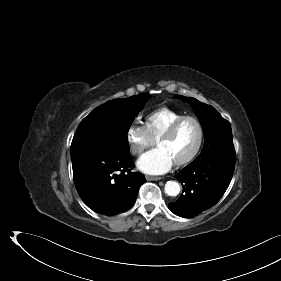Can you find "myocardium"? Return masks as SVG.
Instances as JSON below:
<instances>
[{"label":"myocardium","instance_id":"1","mask_svg":"<svg viewBox=\"0 0 281 281\" xmlns=\"http://www.w3.org/2000/svg\"><path fill=\"white\" fill-rule=\"evenodd\" d=\"M185 120H193L197 127H198V132H199V136H198V141L197 144L194 148V150L184 159L175 162L176 166H185L188 165L189 163H191L199 154L201 147L203 145V141H204V128L202 125V122L199 120L198 117L194 116V115H183L181 117H179L178 119H176L168 128L167 130L160 136V138L157 140V144H159L162 141H166L168 139H170L175 132L177 131L178 127L185 121Z\"/></svg>","mask_w":281,"mask_h":281}]
</instances>
